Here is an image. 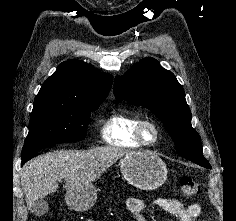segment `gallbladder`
Segmentation results:
<instances>
[{"label": "gallbladder", "mask_w": 236, "mask_h": 221, "mask_svg": "<svg viewBox=\"0 0 236 221\" xmlns=\"http://www.w3.org/2000/svg\"><path fill=\"white\" fill-rule=\"evenodd\" d=\"M31 211L36 216H43L48 212V203L44 199H37L31 207Z\"/></svg>", "instance_id": "1"}]
</instances>
